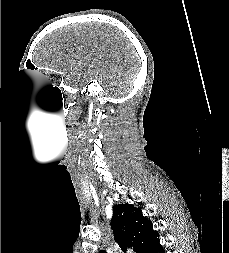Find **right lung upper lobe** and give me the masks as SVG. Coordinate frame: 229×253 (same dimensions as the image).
Here are the masks:
<instances>
[{"instance_id": "right-lung-upper-lobe-1", "label": "right lung upper lobe", "mask_w": 229, "mask_h": 253, "mask_svg": "<svg viewBox=\"0 0 229 253\" xmlns=\"http://www.w3.org/2000/svg\"><path fill=\"white\" fill-rule=\"evenodd\" d=\"M111 227L114 239L124 253L128 247H133L136 253H147L159 240V234L153 230L151 221L131 204L113 207ZM99 253L106 251L101 250Z\"/></svg>"}]
</instances>
